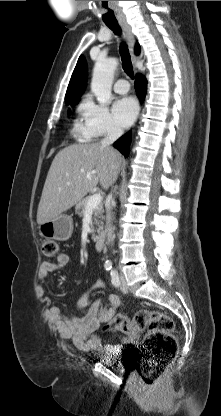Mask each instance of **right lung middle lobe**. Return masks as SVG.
Returning a JSON list of instances; mask_svg holds the SVG:
<instances>
[{
    "instance_id": "obj_1",
    "label": "right lung middle lobe",
    "mask_w": 221,
    "mask_h": 416,
    "mask_svg": "<svg viewBox=\"0 0 221 416\" xmlns=\"http://www.w3.org/2000/svg\"><path fill=\"white\" fill-rule=\"evenodd\" d=\"M77 102H78V101H74V102H71V103H66V104H70V105H71V107H74V106L77 104Z\"/></svg>"
}]
</instances>
